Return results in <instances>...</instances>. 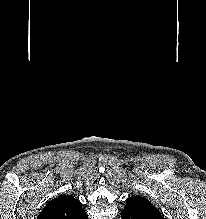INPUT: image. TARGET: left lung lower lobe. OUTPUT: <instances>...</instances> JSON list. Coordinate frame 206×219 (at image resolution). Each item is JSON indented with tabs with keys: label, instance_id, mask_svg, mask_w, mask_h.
Listing matches in <instances>:
<instances>
[{
	"label": "left lung lower lobe",
	"instance_id": "left-lung-lower-lobe-1",
	"mask_svg": "<svg viewBox=\"0 0 206 219\" xmlns=\"http://www.w3.org/2000/svg\"><path fill=\"white\" fill-rule=\"evenodd\" d=\"M121 217L122 219H164L146 201L137 197H130L127 200Z\"/></svg>",
	"mask_w": 206,
	"mask_h": 219
}]
</instances>
